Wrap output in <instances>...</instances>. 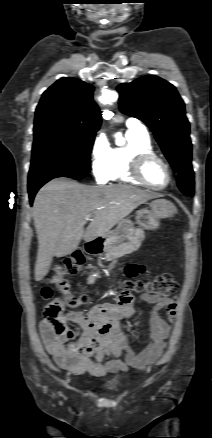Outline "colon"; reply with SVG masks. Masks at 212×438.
I'll use <instances>...</instances> for the list:
<instances>
[{
  "instance_id": "5ec220e1",
  "label": "colon",
  "mask_w": 212,
  "mask_h": 438,
  "mask_svg": "<svg viewBox=\"0 0 212 438\" xmlns=\"http://www.w3.org/2000/svg\"><path fill=\"white\" fill-rule=\"evenodd\" d=\"M83 263L84 257L82 253L74 252L57 266L56 273L51 281L59 288V291L63 294V298L49 301L44 309V320H46L59 335L66 336L69 339L72 338L73 333L66 329L64 310L66 308L74 309L86 303L87 297L85 295H73L65 280V276L76 274L82 267ZM124 286L128 291H135L150 296L160 297H167L174 293L178 288L177 282L169 273L161 274L147 283L127 280L124 281ZM42 296L45 299H50L52 297V290L48 287L43 288Z\"/></svg>"
}]
</instances>
